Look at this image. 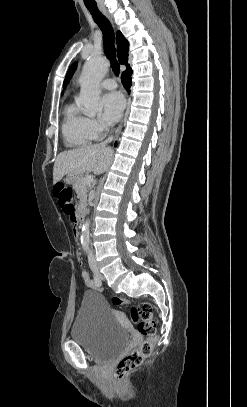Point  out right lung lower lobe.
<instances>
[{
  "instance_id": "1",
  "label": "right lung lower lobe",
  "mask_w": 247,
  "mask_h": 407,
  "mask_svg": "<svg viewBox=\"0 0 247 407\" xmlns=\"http://www.w3.org/2000/svg\"><path fill=\"white\" fill-rule=\"evenodd\" d=\"M131 75H132V70L128 66L127 69L123 72V74L121 76V81L123 83V86L126 88V90L128 92H130V86L132 84ZM115 146H116V143H115Z\"/></svg>"
}]
</instances>
